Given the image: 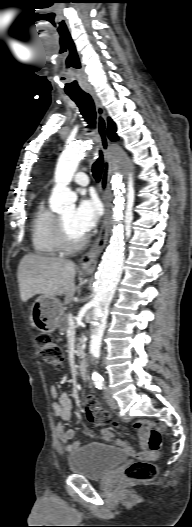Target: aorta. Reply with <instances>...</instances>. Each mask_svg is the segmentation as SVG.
Returning <instances> with one entry per match:
<instances>
[{"instance_id":"1","label":"aorta","mask_w":192,"mask_h":527,"mask_svg":"<svg viewBox=\"0 0 192 527\" xmlns=\"http://www.w3.org/2000/svg\"><path fill=\"white\" fill-rule=\"evenodd\" d=\"M89 141L77 142L66 147L59 156L55 169V186L50 199V207L55 212L63 211L67 207H74L75 195L68 188L83 152L90 146ZM131 167L124 163L112 177V190L114 192L113 218L117 225L113 228V234L101 263L99 265L96 282L95 296L93 298L92 321L90 325L89 353L92 358L100 354L101 341L106 327L108 306L114 296L117 282L120 279L124 260V232L127 229L123 225L124 208L129 198L130 186L128 179ZM95 383L101 381L97 372L92 373Z\"/></svg>"}]
</instances>
